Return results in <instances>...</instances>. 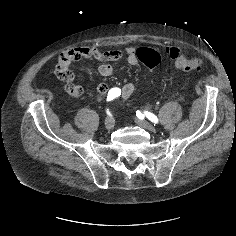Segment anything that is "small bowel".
I'll list each match as a JSON object with an SVG mask.
<instances>
[{
  "instance_id": "c3829d8e",
  "label": "small bowel",
  "mask_w": 236,
  "mask_h": 236,
  "mask_svg": "<svg viewBox=\"0 0 236 236\" xmlns=\"http://www.w3.org/2000/svg\"><path fill=\"white\" fill-rule=\"evenodd\" d=\"M150 48L158 49L157 47ZM137 50L134 47H128L124 52L120 50L101 51L97 46H79L66 50L63 52L62 57H66L70 61V65L82 59L99 61L101 62L98 68L99 74L103 77H108L114 72L111 62L124 59L129 65L136 66L138 64ZM63 81V88L68 94L74 97L84 94V87L76 83V78L70 68ZM134 90L135 86L133 83L125 84L122 87V97L128 99ZM96 91L98 94L103 95L108 91V86L105 83H99L96 85Z\"/></svg>"
}]
</instances>
